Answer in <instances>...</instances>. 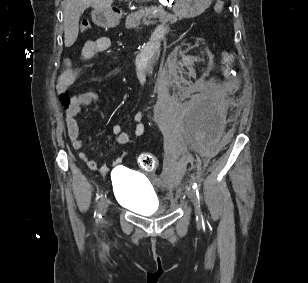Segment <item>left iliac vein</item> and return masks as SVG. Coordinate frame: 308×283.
I'll list each match as a JSON object with an SVG mask.
<instances>
[{
    "label": "left iliac vein",
    "instance_id": "1",
    "mask_svg": "<svg viewBox=\"0 0 308 283\" xmlns=\"http://www.w3.org/2000/svg\"><path fill=\"white\" fill-rule=\"evenodd\" d=\"M187 196L193 202V204L195 206V212H196L197 220H200L201 216H200V212H199V209H198V204H197V198H196L195 191L193 189H191V188H188L187 189Z\"/></svg>",
    "mask_w": 308,
    "mask_h": 283
}]
</instances>
